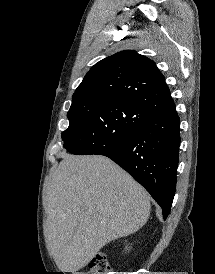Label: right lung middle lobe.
<instances>
[{
    "mask_svg": "<svg viewBox=\"0 0 215 274\" xmlns=\"http://www.w3.org/2000/svg\"><path fill=\"white\" fill-rule=\"evenodd\" d=\"M153 113L119 100L72 103L64 148L76 155L96 154L132 135Z\"/></svg>",
    "mask_w": 215,
    "mask_h": 274,
    "instance_id": "obj_1",
    "label": "right lung middle lobe"
}]
</instances>
